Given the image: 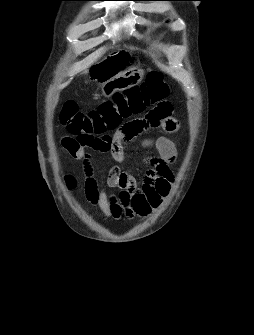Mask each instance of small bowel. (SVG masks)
Returning <instances> with one entry per match:
<instances>
[{"mask_svg": "<svg viewBox=\"0 0 254 335\" xmlns=\"http://www.w3.org/2000/svg\"><path fill=\"white\" fill-rule=\"evenodd\" d=\"M163 104H155L149 108L145 117L135 120H125V124H118L115 137L111 141L110 155L116 162L109 170L98 178L90 162L86 146L77 137L66 136L61 139L65 150L77 160L84 162V193L86 199L97 205L106 218L120 219L147 216L151 210L157 208L168 195L174 182L172 165L177 158L176 144L163 136L144 140L147 148L156 151V155L146 159L148 170L142 184L124 168L125 153L122 143H130L131 139L151 130H158V134L176 135L179 123L172 118V106L167 98ZM133 135V136H132ZM69 189L75 187V180L67 178ZM106 187L118 188V194H109Z\"/></svg>", "mask_w": 254, "mask_h": 335, "instance_id": "obj_1", "label": "small bowel"}]
</instances>
